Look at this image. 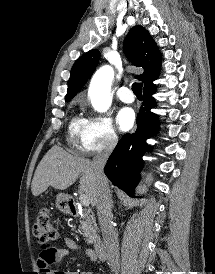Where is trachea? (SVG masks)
I'll return each instance as SVG.
<instances>
[{"instance_id": "obj_1", "label": "trachea", "mask_w": 215, "mask_h": 274, "mask_svg": "<svg viewBox=\"0 0 215 274\" xmlns=\"http://www.w3.org/2000/svg\"><path fill=\"white\" fill-rule=\"evenodd\" d=\"M132 90L137 97H142V83L135 82L132 85Z\"/></svg>"}]
</instances>
